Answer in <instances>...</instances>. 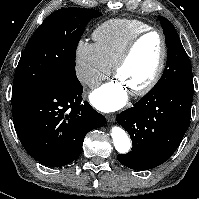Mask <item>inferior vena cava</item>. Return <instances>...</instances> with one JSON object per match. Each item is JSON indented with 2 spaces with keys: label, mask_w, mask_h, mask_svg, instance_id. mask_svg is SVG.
Segmentation results:
<instances>
[{
  "label": "inferior vena cava",
  "mask_w": 199,
  "mask_h": 199,
  "mask_svg": "<svg viewBox=\"0 0 199 199\" xmlns=\"http://www.w3.org/2000/svg\"><path fill=\"white\" fill-rule=\"evenodd\" d=\"M91 84H92L93 86H99V85L101 84V82H100L99 80H93V81L91 82Z\"/></svg>",
  "instance_id": "1"
}]
</instances>
